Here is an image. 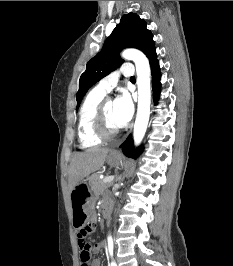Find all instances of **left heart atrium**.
I'll list each match as a JSON object with an SVG mask.
<instances>
[{"instance_id":"obj_1","label":"left heart atrium","mask_w":233,"mask_h":266,"mask_svg":"<svg viewBox=\"0 0 233 266\" xmlns=\"http://www.w3.org/2000/svg\"><path fill=\"white\" fill-rule=\"evenodd\" d=\"M134 111L133 102L128 93H121L114 100V117L117 127L126 126L132 118Z\"/></svg>"}]
</instances>
